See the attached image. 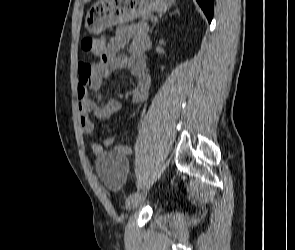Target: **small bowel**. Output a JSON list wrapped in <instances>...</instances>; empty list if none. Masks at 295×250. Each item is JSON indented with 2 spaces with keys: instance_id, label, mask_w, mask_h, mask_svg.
<instances>
[{
  "instance_id": "obj_1",
  "label": "small bowel",
  "mask_w": 295,
  "mask_h": 250,
  "mask_svg": "<svg viewBox=\"0 0 295 250\" xmlns=\"http://www.w3.org/2000/svg\"><path fill=\"white\" fill-rule=\"evenodd\" d=\"M130 40L132 43L129 54H120ZM149 46L150 39L144 26L124 25L120 26L108 41L103 39L102 48L94 52L100 57L99 62H79L77 98L79 120L84 134L89 135L93 132L91 114L98 119L107 120L121 109V103L118 100H103L98 93L104 76L111 71L125 69L131 74L135 81L131 91V99L134 103H141L147 99L151 78L146 71L144 53ZM114 142V137H108L104 140V146L110 147ZM90 147L95 155H100L103 151V147L97 143H91ZM116 150L122 155L131 153L128 146H119Z\"/></svg>"
}]
</instances>
